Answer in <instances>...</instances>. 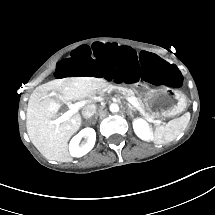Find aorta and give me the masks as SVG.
Here are the masks:
<instances>
[{"label": "aorta", "mask_w": 215, "mask_h": 215, "mask_svg": "<svg viewBox=\"0 0 215 215\" xmlns=\"http://www.w3.org/2000/svg\"><path fill=\"white\" fill-rule=\"evenodd\" d=\"M109 110H110L112 113L118 112V111H119V105H118L117 103H112V104H110V106H109Z\"/></svg>", "instance_id": "762f6f07"}]
</instances>
